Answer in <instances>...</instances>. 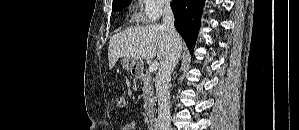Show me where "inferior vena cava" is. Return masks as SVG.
<instances>
[{"label":"inferior vena cava","mask_w":299,"mask_h":130,"mask_svg":"<svg viewBox=\"0 0 299 130\" xmlns=\"http://www.w3.org/2000/svg\"><path fill=\"white\" fill-rule=\"evenodd\" d=\"M174 14L170 3H166L163 10L162 27L167 31L169 37V52L162 61L156 74L155 88L158 98V122L157 130H170V93L169 83L171 74L178 63L182 51V42L174 27Z\"/></svg>","instance_id":"inferior-vena-cava-1"}]
</instances>
